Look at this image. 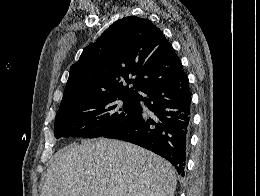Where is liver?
Segmentation results:
<instances>
[{"label":"liver","instance_id":"obj_1","mask_svg":"<svg viewBox=\"0 0 260 196\" xmlns=\"http://www.w3.org/2000/svg\"><path fill=\"white\" fill-rule=\"evenodd\" d=\"M173 166L120 140H87L57 152L41 196H174Z\"/></svg>","mask_w":260,"mask_h":196}]
</instances>
